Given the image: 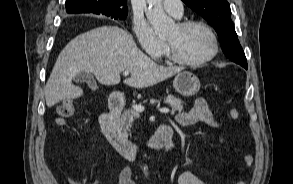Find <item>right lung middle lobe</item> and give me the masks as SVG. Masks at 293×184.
Listing matches in <instances>:
<instances>
[{"label":"right lung middle lobe","instance_id":"obj_1","mask_svg":"<svg viewBox=\"0 0 293 184\" xmlns=\"http://www.w3.org/2000/svg\"><path fill=\"white\" fill-rule=\"evenodd\" d=\"M109 16L111 18H114V19H120V20H124L127 16V13H118V12H115V13H110Z\"/></svg>","mask_w":293,"mask_h":184}]
</instances>
